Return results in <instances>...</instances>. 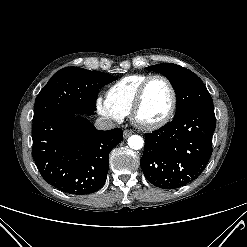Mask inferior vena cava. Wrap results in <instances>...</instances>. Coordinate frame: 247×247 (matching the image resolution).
Here are the masks:
<instances>
[{"label":"inferior vena cava","instance_id":"1","mask_svg":"<svg viewBox=\"0 0 247 247\" xmlns=\"http://www.w3.org/2000/svg\"><path fill=\"white\" fill-rule=\"evenodd\" d=\"M95 127L99 130H109L115 128V124L109 119L99 117L95 121Z\"/></svg>","mask_w":247,"mask_h":247}]
</instances>
